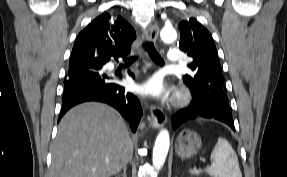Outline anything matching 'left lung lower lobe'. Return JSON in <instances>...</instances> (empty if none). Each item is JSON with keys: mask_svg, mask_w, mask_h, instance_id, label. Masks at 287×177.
Wrapping results in <instances>:
<instances>
[{"mask_svg": "<svg viewBox=\"0 0 287 177\" xmlns=\"http://www.w3.org/2000/svg\"><path fill=\"white\" fill-rule=\"evenodd\" d=\"M197 116L220 120L235 130L229 109L228 98L223 92L214 91L210 93V100L208 101H198L193 94V102L191 105L172 116V126L176 129L182 123L187 120L194 119Z\"/></svg>", "mask_w": 287, "mask_h": 177, "instance_id": "1", "label": "left lung lower lobe"}]
</instances>
